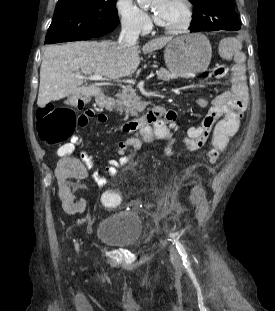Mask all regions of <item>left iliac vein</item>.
Instances as JSON below:
<instances>
[{
    "mask_svg": "<svg viewBox=\"0 0 275 311\" xmlns=\"http://www.w3.org/2000/svg\"><path fill=\"white\" fill-rule=\"evenodd\" d=\"M169 251H170V259L172 261L173 264H175L176 266L178 267H181L182 266V262L175 250V248L173 246H170L169 247Z\"/></svg>",
    "mask_w": 275,
    "mask_h": 311,
    "instance_id": "4c4485c4",
    "label": "left iliac vein"
}]
</instances>
